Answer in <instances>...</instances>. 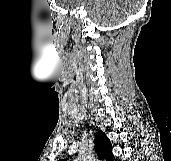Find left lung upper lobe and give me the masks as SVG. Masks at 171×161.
Here are the masks:
<instances>
[{"instance_id":"left-lung-upper-lobe-1","label":"left lung upper lobe","mask_w":171,"mask_h":161,"mask_svg":"<svg viewBox=\"0 0 171 161\" xmlns=\"http://www.w3.org/2000/svg\"><path fill=\"white\" fill-rule=\"evenodd\" d=\"M95 147L99 159L106 161H114V155L111 151V143L106 134L99 131L95 134ZM64 161V160H60Z\"/></svg>"}]
</instances>
